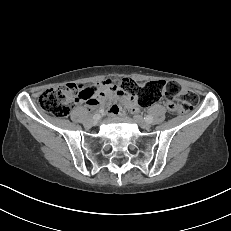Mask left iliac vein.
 Returning a JSON list of instances; mask_svg holds the SVG:
<instances>
[{
	"mask_svg": "<svg viewBox=\"0 0 231 231\" xmlns=\"http://www.w3.org/2000/svg\"><path fill=\"white\" fill-rule=\"evenodd\" d=\"M136 122L139 124V126L143 129H150L151 125L149 122L145 121L142 117L139 115L135 116Z\"/></svg>",
	"mask_w": 231,
	"mask_h": 231,
	"instance_id": "1",
	"label": "left iliac vein"
}]
</instances>
